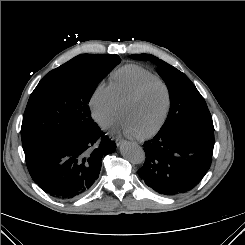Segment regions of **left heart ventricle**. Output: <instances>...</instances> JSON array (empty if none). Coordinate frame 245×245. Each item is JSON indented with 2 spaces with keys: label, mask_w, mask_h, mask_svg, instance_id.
<instances>
[{
  "label": "left heart ventricle",
  "mask_w": 245,
  "mask_h": 245,
  "mask_svg": "<svg viewBox=\"0 0 245 245\" xmlns=\"http://www.w3.org/2000/svg\"><path fill=\"white\" fill-rule=\"evenodd\" d=\"M165 102L163 87L158 83H151L138 98L124 105L121 115L137 134H141L157 124L163 114Z\"/></svg>",
  "instance_id": "left-heart-ventricle-1"
}]
</instances>
